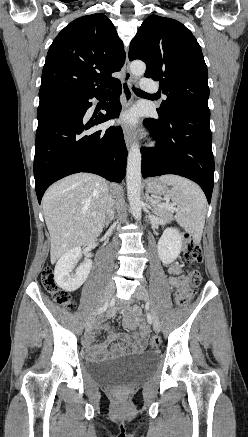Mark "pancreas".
I'll return each instance as SVG.
<instances>
[{
    "instance_id": "1",
    "label": "pancreas",
    "mask_w": 248,
    "mask_h": 437,
    "mask_svg": "<svg viewBox=\"0 0 248 437\" xmlns=\"http://www.w3.org/2000/svg\"><path fill=\"white\" fill-rule=\"evenodd\" d=\"M155 213L159 216L162 224L167 223L172 218V213L169 209L160 207L158 205L155 206Z\"/></svg>"
}]
</instances>
